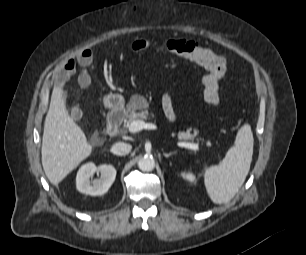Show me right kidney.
<instances>
[{
  "mask_svg": "<svg viewBox=\"0 0 306 255\" xmlns=\"http://www.w3.org/2000/svg\"><path fill=\"white\" fill-rule=\"evenodd\" d=\"M100 173L99 179H90L96 173ZM116 177V169L112 165L103 164L95 166L93 163H86L79 169L76 177L77 190L84 194L98 196L105 194Z\"/></svg>",
  "mask_w": 306,
  "mask_h": 255,
  "instance_id": "1",
  "label": "right kidney"
}]
</instances>
